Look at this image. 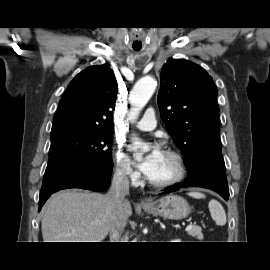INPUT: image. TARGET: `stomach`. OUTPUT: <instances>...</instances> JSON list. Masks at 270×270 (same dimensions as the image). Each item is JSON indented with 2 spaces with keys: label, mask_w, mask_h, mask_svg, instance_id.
<instances>
[{
  "label": "stomach",
  "mask_w": 270,
  "mask_h": 270,
  "mask_svg": "<svg viewBox=\"0 0 270 270\" xmlns=\"http://www.w3.org/2000/svg\"><path fill=\"white\" fill-rule=\"evenodd\" d=\"M143 209L147 213L174 220L184 219L191 213L188 202L173 194L154 201L151 206H143Z\"/></svg>",
  "instance_id": "obj_1"
}]
</instances>
